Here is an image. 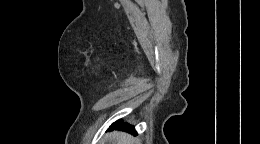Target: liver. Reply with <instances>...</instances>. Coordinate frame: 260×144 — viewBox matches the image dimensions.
<instances>
[{
  "label": "liver",
  "instance_id": "6515ba94",
  "mask_svg": "<svg viewBox=\"0 0 260 144\" xmlns=\"http://www.w3.org/2000/svg\"><path fill=\"white\" fill-rule=\"evenodd\" d=\"M117 144H136V140L126 133H116Z\"/></svg>",
  "mask_w": 260,
  "mask_h": 144
}]
</instances>
